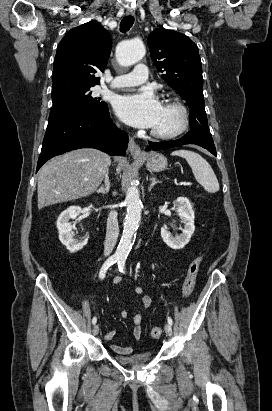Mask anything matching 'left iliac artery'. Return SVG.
I'll return each mask as SVG.
<instances>
[{
    "label": "left iliac artery",
    "instance_id": "44dca946",
    "mask_svg": "<svg viewBox=\"0 0 272 411\" xmlns=\"http://www.w3.org/2000/svg\"><path fill=\"white\" fill-rule=\"evenodd\" d=\"M125 262L126 258H119L118 260V268L121 273H125ZM168 323L172 326L173 325V320L171 317H168Z\"/></svg>",
    "mask_w": 272,
    "mask_h": 411
}]
</instances>
